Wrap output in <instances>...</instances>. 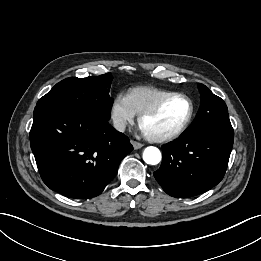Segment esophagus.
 <instances>
[{"instance_id": "obj_1", "label": "esophagus", "mask_w": 261, "mask_h": 261, "mask_svg": "<svg viewBox=\"0 0 261 261\" xmlns=\"http://www.w3.org/2000/svg\"><path fill=\"white\" fill-rule=\"evenodd\" d=\"M131 144L133 145L134 149L137 150V149H140L141 147H143V144L140 143V142H137L135 140H131Z\"/></svg>"}]
</instances>
